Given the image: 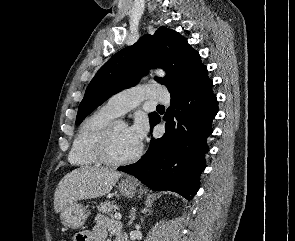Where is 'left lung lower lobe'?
Instances as JSON below:
<instances>
[{"mask_svg": "<svg viewBox=\"0 0 295 241\" xmlns=\"http://www.w3.org/2000/svg\"><path fill=\"white\" fill-rule=\"evenodd\" d=\"M212 85L204 72L184 90L171 94V105L163 118V137L152 139L139 161L118 170L134 175L150 189L170 190L192 199L205 169L206 141L218 112ZM160 120L158 115L151 127Z\"/></svg>", "mask_w": 295, "mask_h": 241, "instance_id": "obj_1", "label": "left lung lower lobe"}]
</instances>
